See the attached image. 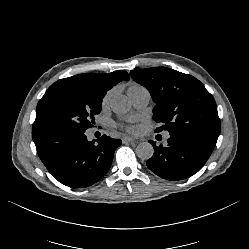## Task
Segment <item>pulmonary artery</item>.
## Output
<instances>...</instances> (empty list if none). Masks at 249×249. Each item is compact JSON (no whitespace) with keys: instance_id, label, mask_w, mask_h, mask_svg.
<instances>
[{"instance_id":"e3ab8cb5","label":"pulmonary artery","mask_w":249,"mask_h":249,"mask_svg":"<svg viewBox=\"0 0 249 249\" xmlns=\"http://www.w3.org/2000/svg\"><path fill=\"white\" fill-rule=\"evenodd\" d=\"M130 98L132 100V103L135 108L137 109H143L145 108L150 100V94L147 90H142L140 92H136L132 95H130ZM165 139H168L170 137L169 133H166L164 135Z\"/></svg>"}]
</instances>
